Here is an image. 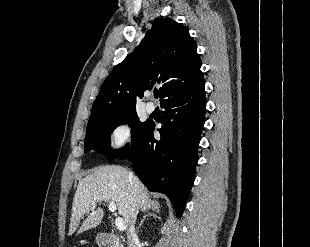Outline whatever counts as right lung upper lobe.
<instances>
[{"instance_id":"cb5924a9","label":"right lung upper lobe","mask_w":310,"mask_h":247,"mask_svg":"<svg viewBox=\"0 0 310 247\" xmlns=\"http://www.w3.org/2000/svg\"><path fill=\"white\" fill-rule=\"evenodd\" d=\"M197 45L188 29L171 18H158L133 53L102 84L89 122L136 110L144 91L161 85V103L203 81ZM160 103V104H161Z\"/></svg>"}]
</instances>
